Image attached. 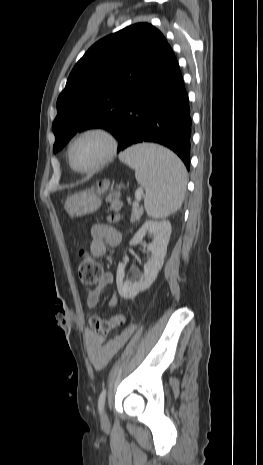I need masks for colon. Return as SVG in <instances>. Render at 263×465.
Segmentation results:
<instances>
[{
  "instance_id": "obj_1",
  "label": "colon",
  "mask_w": 263,
  "mask_h": 465,
  "mask_svg": "<svg viewBox=\"0 0 263 465\" xmlns=\"http://www.w3.org/2000/svg\"><path fill=\"white\" fill-rule=\"evenodd\" d=\"M108 187L109 184L107 181H103L101 183V188L103 190L107 191ZM108 201L114 211H118L120 209L121 203L117 193L108 192ZM112 218L115 220L117 219V216H113ZM77 270L81 284L90 292L95 290L103 274L102 267L84 248L79 251ZM124 323L125 317L120 314L114 315L110 319H101L98 316H91L89 318V325L91 329L101 334L110 333L116 328L124 325Z\"/></svg>"
}]
</instances>
